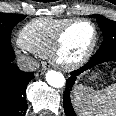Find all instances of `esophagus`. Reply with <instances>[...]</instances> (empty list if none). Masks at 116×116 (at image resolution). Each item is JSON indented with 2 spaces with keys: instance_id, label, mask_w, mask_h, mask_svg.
<instances>
[{
  "instance_id": "obj_1",
  "label": "esophagus",
  "mask_w": 116,
  "mask_h": 116,
  "mask_svg": "<svg viewBox=\"0 0 116 116\" xmlns=\"http://www.w3.org/2000/svg\"><path fill=\"white\" fill-rule=\"evenodd\" d=\"M46 72V68H42V69H39L37 72H36V76H41L43 75L44 73Z\"/></svg>"
}]
</instances>
